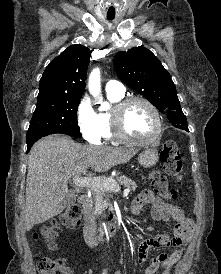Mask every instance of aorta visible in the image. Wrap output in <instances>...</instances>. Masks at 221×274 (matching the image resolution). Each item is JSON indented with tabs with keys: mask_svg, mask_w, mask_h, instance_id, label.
Returning <instances> with one entry per match:
<instances>
[{
	"mask_svg": "<svg viewBox=\"0 0 221 274\" xmlns=\"http://www.w3.org/2000/svg\"><path fill=\"white\" fill-rule=\"evenodd\" d=\"M88 89L90 94H92L99 103L103 104V99L101 97L100 70L98 68L94 69L89 75Z\"/></svg>",
	"mask_w": 221,
	"mask_h": 274,
	"instance_id": "1",
	"label": "aorta"
}]
</instances>
